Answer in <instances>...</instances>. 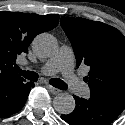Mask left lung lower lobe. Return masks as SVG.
Returning <instances> with one entry per match:
<instances>
[{
  "mask_svg": "<svg viewBox=\"0 0 125 125\" xmlns=\"http://www.w3.org/2000/svg\"><path fill=\"white\" fill-rule=\"evenodd\" d=\"M73 97L74 111L61 115L70 125H110L125 109V98L116 95H91L89 99Z\"/></svg>",
  "mask_w": 125,
  "mask_h": 125,
  "instance_id": "1",
  "label": "left lung lower lobe"
}]
</instances>
